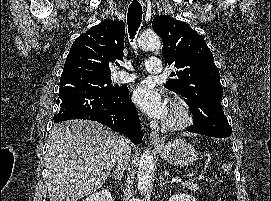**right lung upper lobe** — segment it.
<instances>
[{
  "label": "right lung upper lobe",
  "mask_w": 271,
  "mask_h": 201,
  "mask_svg": "<svg viewBox=\"0 0 271 201\" xmlns=\"http://www.w3.org/2000/svg\"><path fill=\"white\" fill-rule=\"evenodd\" d=\"M125 23L105 20L80 35L72 44L64 71L83 69L111 75L113 64L123 60Z\"/></svg>",
  "instance_id": "right-lung-upper-lobe-1"
}]
</instances>
